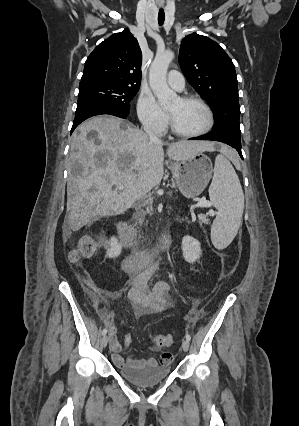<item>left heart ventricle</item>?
<instances>
[{"label":"left heart ventricle","instance_id":"b2bd125f","mask_svg":"<svg viewBox=\"0 0 299 426\" xmlns=\"http://www.w3.org/2000/svg\"><path fill=\"white\" fill-rule=\"evenodd\" d=\"M168 112L178 129L184 132H196L207 123L205 110L196 102H183L175 99L168 107Z\"/></svg>","mask_w":299,"mask_h":426}]
</instances>
